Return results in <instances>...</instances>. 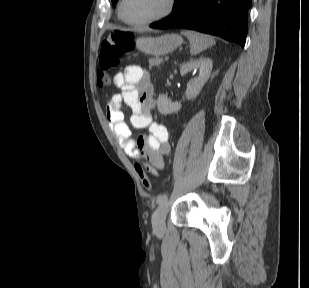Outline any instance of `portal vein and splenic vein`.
I'll use <instances>...</instances> for the list:
<instances>
[{"instance_id": "1", "label": "portal vein and splenic vein", "mask_w": 309, "mask_h": 288, "mask_svg": "<svg viewBox=\"0 0 309 288\" xmlns=\"http://www.w3.org/2000/svg\"><path fill=\"white\" fill-rule=\"evenodd\" d=\"M164 60H165V61H168V60H169V57H168V56H165Z\"/></svg>"}]
</instances>
